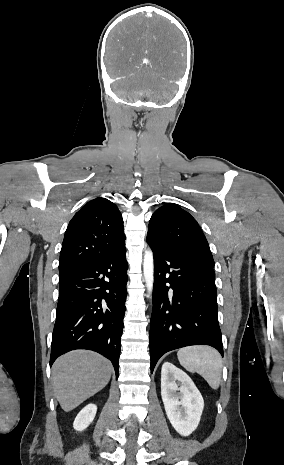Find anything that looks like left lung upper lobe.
<instances>
[{"mask_svg": "<svg viewBox=\"0 0 284 465\" xmlns=\"http://www.w3.org/2000/svg\"><path fill=\"white\" fill-rule=\"evenodd\" d=\"M147 239L172 253L214 267V260L197 221L187 211L166 203L152 215Z\"/></svg>", "mask_w": 284, "mask_h": 465, "instance_id": "left-lung-upper-lobe-1", "label": "left lung upper lobe"}]
</instances>
